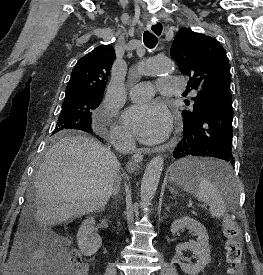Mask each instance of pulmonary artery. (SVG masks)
Segmentation results:
<instances>
[{
  "label": "pulmonary artery",
  "instance_id": "1",
  "mask_svg": "<svg viewBox=\"0 0 263 275\" xmlns=\"http://www.w3.org/2000/svg\"><path fill=\"white\" fill-rule=\"evenodd\" d=\"M183 84L177 77L160 78L155 87L150 82H140L130 89L129 96L134 101H145L154 96L156 91L162 95L175 96L181 92Z\"/></svg>",
  "mask_w": 263,
  "mask_h": 275
}]
</instances>
